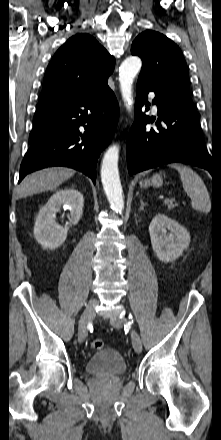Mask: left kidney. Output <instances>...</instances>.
<instances>
[{
    "label": "left kidney",
    "instance_id": "5707ae66",
    "mask_svg": "<svg viewBox=\"0 0 221 440\" xmlns=\"http://www.w3.org/2000/svg\"><path fill=\"white\" fill-rule=\"evenodd\" d=\"M154 253L162 262H171L182 255L190 243L188 231L175 220L157 214L149 225Z\"/></svg>",
    "mask_w": 221,
    "mask_h": 440
}]
</instances>
